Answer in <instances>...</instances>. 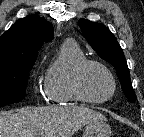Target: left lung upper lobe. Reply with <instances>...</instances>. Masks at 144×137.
<instances>
[{"instance_id":"1","label":"left lung upper lobe","mask_w":144,"mask_h":137,"mask_svg":"<svg viewBox=\"0 0 144 137\" xmlns=\"http://www.w3.org/2000/svg\"><path fill=\"white\" fill-rule=\"evenodd\" d=\"M79 26L83 35L97 54L117 69V76L125 96L130 102H135L136 95L131 84L127 62L116 38L103 24L81 18Z\"/></svg>"}]
</instances>
